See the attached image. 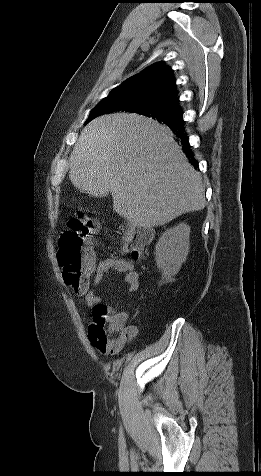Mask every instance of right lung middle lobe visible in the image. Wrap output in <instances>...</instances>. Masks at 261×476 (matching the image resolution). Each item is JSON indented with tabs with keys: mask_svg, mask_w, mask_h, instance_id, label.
Masks as SVG:
<instances>
[{
	"mask_svg": "<svg viewBox=\"0 0 261 476\" xmlns=\"http://www.w3.org/2000/svg\"><path fill=\"white\" fill-rule=\"evenodd\" d=\"M121 96L112 95L103 99L90 113L86 123L93 118L110 113L126 111L131 113H138L144 116L153 117L166 125L177 123L182 119V112L176 108L168 106L157 101H146L138 103L122 104L120 102Z\"/></svg>",
	"mask_w": 261,
	"mask_h": 476,
	"instance_id": "dd1d6c3e",
	"label": "right lung middle lobe"
}]
</instances>
